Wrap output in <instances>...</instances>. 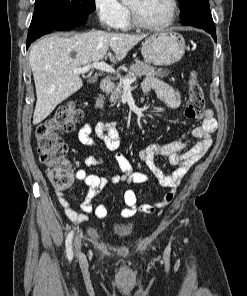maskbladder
Returning a JSON list of instances; mask_svg holds the SVG:
<instances>
[{"label":"bladder","mask_w":247,"mask_h":296,"mask_svg":"<svg viewBox=\"0 0 247 296\" xmlns=\"http://www.w3.org/2000/svg\"><path fill=\"white\" fill-rule=\"evenodd\" d=\"M132 228L129 226H118L115 228V233L119 237H127L131 234Z\"/></svg>","instance_id":"1"}]
</instances>
